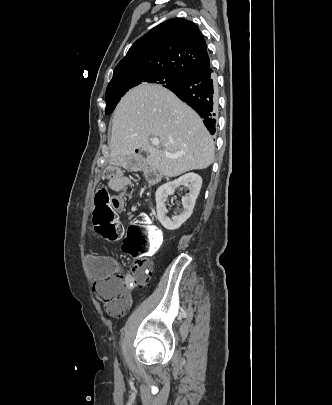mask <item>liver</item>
Returning a JSON list of instances; mask_svg holds the SVG:
<instances>
[{
	"mask_svg": "<svg viewBox=\"0 0 332 405\" xmlns=\"http://www.w3.org/2000/svg\"><path fill=\"white\" fill-rule=\"evenodd\" d=\"M151 138H158L160 146L153 147ZM109 146L112 164L125 166L135 149H142L148 166L166 177L207 168L215 148L200 116L160 85H141L123 96L114 111Z\"/></svg>",
	"mask_w": 332,
	"mask_h": 405,
	"instance_id": "obj_1",
	"label": "liver"
}]
</instances>
